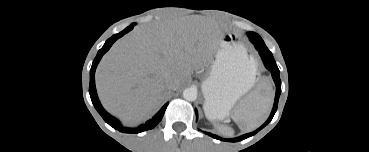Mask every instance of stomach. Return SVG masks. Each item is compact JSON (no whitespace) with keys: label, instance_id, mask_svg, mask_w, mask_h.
Returning a JSON list of instances; mask_svg holds the SVG:
<instances>
[{"label":"stomach","instance_id":"0dacf381","mask_svg":"<svg viewBox=\"0 0 369 152\" xmlns=\"http://www.w3.org/2000/svg\"><path fill=\"white\" fill-rule=\"evenodd\" d=\"M257 81L255 60L248 56L233 31H225L215 61L202 83L204 111L209 119L223 120Z\"/></svg>","mask_w":369,"mask_h":152}]
</instances>
